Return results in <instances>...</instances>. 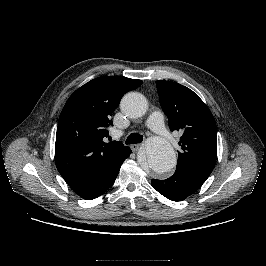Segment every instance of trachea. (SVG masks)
<instances>
[{
  "mask_svg": "<svg viewBox=\"0 0 266 266\" xmlns=\"http://www.w3.org/2000/svg\"><path fill=\"white\" fill-rule=\"evenodd\" d=\"M143 141V136L138 133H132L128 136L126 144H136Z\"/></svg>",
  "mask_w": 266,
  "mask_h": 266,
  "instance_id": "obj_1",
  "label": "trachea"
}]
</instances>
